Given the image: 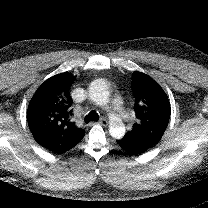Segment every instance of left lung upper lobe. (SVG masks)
Here are the masks:
<instances>
[{"instance_id":"5c2ea615","label":"left lung upper lobe","mask_w":208,"mask_h":208,"mask_svg":"<svg viewBox=\"0 0 208 208\" xmlns=\"http://www.w3.org/2000/svg\"><path fill=\"white\" fill-rule=\"evenodd\" d=\"M136 122L124 138L153 148L162 138L170 119V103L162 87L150 76L134 71Z\"/></svg>"}]
</instances>
